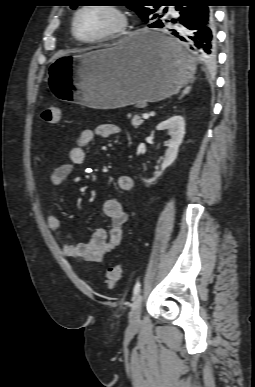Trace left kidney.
Returning <instances> with one entry per match:
<instances>
[{"mask_svg":"<svg viewBox=\"0 0 255 387\" xmlns=\"http://www.w3.org/2000/svg\"><path fill=\"white\" fill-rule=\"evenodd\" d=\"M157 130L163 131L168 130V134L171 136V139L168 141V148L165 152L163 162L161 164V171H159L154 178L149 180H144V182L151 184L158 177L163 174V171L170 166L177 157L178 148L182 143L184 134H185V120L180 115H174L169 119L159 123L157 125Z\"/></svg>","mask_w":255,"mask_h":387,"instance_id":"1","label":"left kidney"}]
</instances>
